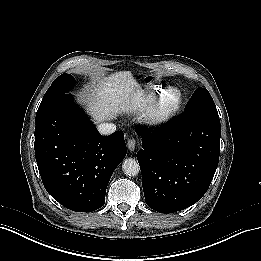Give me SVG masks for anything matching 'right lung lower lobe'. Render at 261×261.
Listing matches in <instances>:
<instances>
[{
  "mask_svg": "<svg viewBox=\"0 0 261 261\" xmlns=\"http://www.w3.org/2000/svg\"><path fill=\"white\" fill-rule=\"evenodd\" d=\"M35 122V157L48 193L73 211L102 207L111 175L126 155L123 132L102 136L68 94Z\"/></svg>",
  "mask_w": 261,
  "mask_h": 261,
  "instance_id": "obj_1",
  "label": "right lung lower lobe"
}]
</instances>
